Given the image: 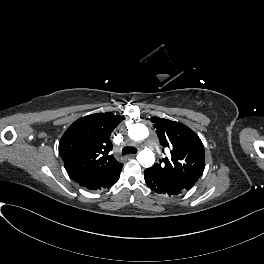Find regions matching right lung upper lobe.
Here are the masks:
<instances>
[{
	"mask_svg": "<svg viewBox=\"0 0 264 264\" xmlns=\"http://www.w3.org/2000/svg\"><path fill=\"white\" fill-rule=\"evenodd\" d=\"M122 116L96 113L75 121L59 142V153L68 175L86 187L109 175L122 163L113 155L110 135Z\"/></svg>",
	"mask_w": 264,
	"mask_h": 264,
	"instance_id": "cb5924a9",
	"label": "right lung upper lobe"
}]
</instances>
